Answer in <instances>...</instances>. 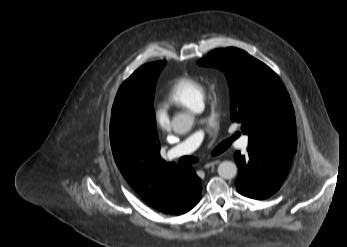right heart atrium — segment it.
<instances>
[{"label": "right heart atrium", "mask_w": 347, "mask_h": 247, "mask_svg": "<svg viewBox=\"0 0 347 247\" xmlns=\"http://www.w3.org/2000/svg\"><path fill=\"white\" fill-rule=\"evenodd\" d=\"M154 118L156 125L162 131H168L171 128V118L165 110H156Z\"/></svg>", "instance_id": "right-heart-atrium-1"}]
</instances>
